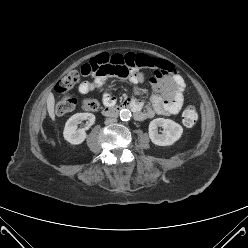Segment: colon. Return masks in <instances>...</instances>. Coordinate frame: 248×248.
Segmentation results:
<instances>
[{
    "label": "colon",
    "instance_id": "colon-1",
    "mask_svg": "<svg viewBox=\"0 0 248 248\" xmlns=\"http://www.w3.org/2000/svg\"><path fill=\"white\" fill-rule=\"evenodd\" d=\"M83 75L99 73H111L120 77H127L128 71L122 67L119 59L112 55H101L92 58L83 65ZM80 74L72 71L62 77L55 86V91L60 100L55 107L56 115L63 116L74 109L75 101L68 95V91L80 81ZM83 108L86 111L94 112L99 108V102L94 98H87L83 101ZM198 120V114L194 106H188L182 113V123L186 127H193Z\"/></svg>",
    "mask_w": 248,
    "mask_h": 248
}]
</instances>
